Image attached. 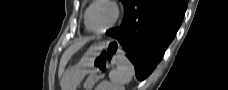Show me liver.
Segmentation results:
<instances>
[{
	"mask_svg": "<svg viewBox=\"0 0 228 90\" xmlns=\"http://www.w3.org/2000/svg\"><path fill=\"white\" fill-rule=\"evenodd\" d=\"M89 40H90L89 38L78 39L69 48L65 50L59 64V70H58L59 78L63 76L65 67L69 59L72 57V55L75 54L80 48H82ZM61 86L62 88H64L63 79L61 81Z\"/></svg>",
	"mask_w": 228,
	"mask_h": 90,
	"instance_id": "1",
	"label": "liver"
}]
</instances>
